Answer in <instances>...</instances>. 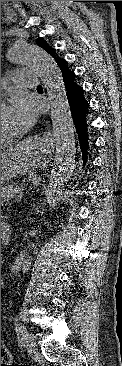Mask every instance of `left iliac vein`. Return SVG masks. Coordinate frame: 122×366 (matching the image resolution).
Masks as SVG:
<instances>
[{"mask_svg": "<svg viewBox=\"0 0 122 366\" xmlns=\"http://www.w3.org/2000/svg\"><path fill=\"white\" fill-rule=\"evenodd\" d=\"M25 342H26V348L28 351H33L35 352L36 351V344H35V340H34V337L33 335L31 334H28L26 335L25 337ZM23 341V339H21V342Z\"/></svg>", "mask_w": 122, "mask_h": 366, "instance_id": "1", "label": "left iliac vein"}]
</instances>
